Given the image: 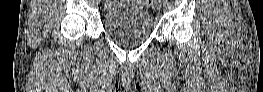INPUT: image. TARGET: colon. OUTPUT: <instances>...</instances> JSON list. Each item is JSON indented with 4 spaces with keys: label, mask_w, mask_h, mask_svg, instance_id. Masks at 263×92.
<instances>
[{
    "label": "colon",
    "mask_w": 263,
    "mask_h": 92,
    "mask_svg": "<svg viewBox=\"0 0 263 92\" xmlns=\"http://www.w3.org/2000/svg\"><path fill=\"white\" fill-rule=\"evenodd\" d=\"M144 2L147 3V4H151V3L154 2V1L147 0V1H144Z\"/></svg>",
    "instance_id": "colon-1"
}]
</instances>
